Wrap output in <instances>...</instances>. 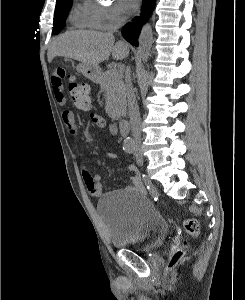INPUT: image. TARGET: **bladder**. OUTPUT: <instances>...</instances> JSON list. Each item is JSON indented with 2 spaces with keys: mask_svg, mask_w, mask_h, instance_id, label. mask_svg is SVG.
Instances as JSON below:
<instances>
[{
  "mask_svg": "<svg viewBox=\"0 0 245 300\" xmlns=\"http://www.w3.org/2000/svg\"><path fill=\"white\" fill-rule=\"evenodd\" d=\"M113 248L150 252L168 237L169 226L146 195L123 189L106 193L97 204Z\"/></svg>",
  "mask_w": 245,
  "mask_h": 300,
  "instance_id": "1",
  "label": "bladder"
}]
</instances>
